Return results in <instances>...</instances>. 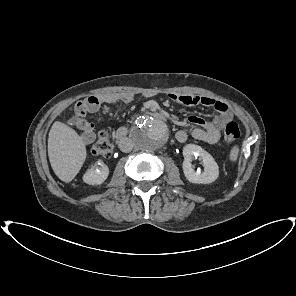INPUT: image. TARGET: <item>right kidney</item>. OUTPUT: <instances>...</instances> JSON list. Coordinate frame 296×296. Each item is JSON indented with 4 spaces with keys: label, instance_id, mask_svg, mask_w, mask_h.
Instances as JSON below:
<instances>
[{
    "label": "right kidney",
    "instance_id": "right-kidney-1",
    "mask_svg": "<svg viewBox=\"0 0 296 296\" xmlns=\"http://www.w3.org/2000/svg\"><path fill=\"white\" fill-rule=\"evenodd\" d=\"M100 169L96 165L89 168L83 175V181L89 185L102 184L109 175V167L105 164L98 163Z\"/></svg>",
    "mask_w": 296,
    "mask_h": 296
}]
</instances>
